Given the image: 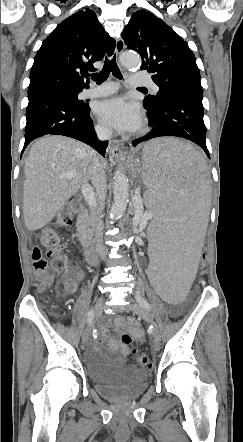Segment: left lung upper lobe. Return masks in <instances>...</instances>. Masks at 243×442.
Listing matches in <instances>:
<instances>
[{"instance_id": "1", "label": "left lung upper lobe", "mask_w": 243, "mask_h": 442, "mask_svg": "<svg viewBox=\"0 0 243 442\" xmlns=\"http://www.w3.org/2000/svg\"><path fill=\"white\" fill-rule=\"evenodd\" d=\"M122 38L129 49L141 55V70L154 73L152 79L159 86L156 96L145 97L144 108L159 109L166 93L176 86H201L192 50L160 18L146 10L136 11L125 26Z\"/></svg>"}]
</instances>
